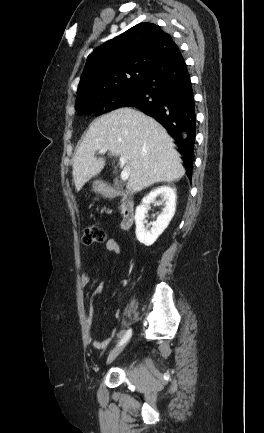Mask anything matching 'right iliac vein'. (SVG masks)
<instances>
[{
	"instance_id": "63e3f726",
	"label": "right iliac vein",
	"mask_w": 264,
	"mask_h": 433,
	"mask_svg": "<svg viewBox=\"0 0 264 433\" xmlns=\"http://www.w3.org/2000/svg\"><path fill=\"white\" fill-rule=\"evenodd\" d=\"M126 343L122 344V345H118L117 347H115L109 354L106 363L110 364L112 363L117 356L122 352V350L124 349Z\"/></svg>"
}]
</instances>
